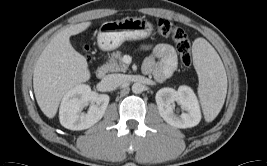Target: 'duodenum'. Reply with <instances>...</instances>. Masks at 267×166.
I'll return each mask as SVG.
<instances>
[{"instance_id": "1", "label": "duodenum", "mask_w": 267, "mask_h": 166, "mask_svg": "<svg viewBox=\"0 0 267 166\" xmlns=\"http://www.w3.org/2000/svg\"><path fill=\"white\" fill-rule=\"evenodd\" d=\"M95 74H96V77L98 79H102L105 76V74H106V68H104V67L97 68Z\"/></svg>"}]
</instances>
